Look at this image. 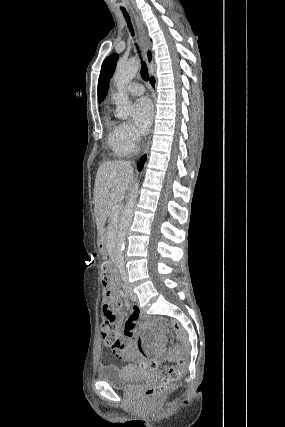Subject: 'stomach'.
I'll return each mask as SVG.
<instances>
[{"instance_id":"stomach-1","label":"stomach","mask_w":285,"mask_h":427,"mask_svg":"<svg viewBox=\"0 0 285 427\" xmlns=\"http://www.w3.org/2000/svg\"><path fill=\"white\" fill-rule=\"evenodd\" d=\"M98 248H99V251H100L101 253H104V252H105V250H106V241H105V239H104V238H101V239L98 241Z\"/></svg>"}]
</instances>
